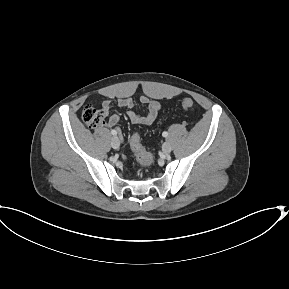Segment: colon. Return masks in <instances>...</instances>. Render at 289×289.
<instances>
[{"instance_id":"1","label":"colon","mask_w":289,"mask_h":289,"mask_svg":"<svg viewBox=\"0 0 289 289\" xmlns=\"http://www.w3.org/2000/svg\"><path fill=\"white\" fill-rule=\"evenodd\" d=\"M193 101L191 98H184L182 100V107L188 110L192 107ZM106 113L103 110L97 109L92 105H87L82 110V119L90 128H95L104 123ZM131 148L137 158L140 167L147 170L154 161V156L146 151L140 143V138L137 134L131 137Z\"/></svg>"}]
</instances>
